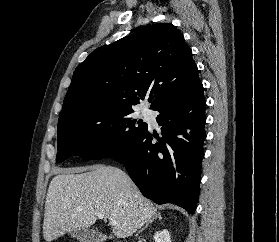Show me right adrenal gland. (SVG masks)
<instances>
[{
    "label": "right adrenal gland",
    "instance_id": "2a0ac1e0",
    "mask_svg": "<svg viewBox=\"0 0 279 242\" xmlns=\"http://www.w3.org/2000/svg\"><path fill=\"white\" fill-rule=\"evenodd\" d=\"M154 219H159V220H161L162 217H161L160 213L155 214V217H154L153 219H151L150 221H148V222L145 224V226H144L142 229H140V230L138 231V233L142 232L145 228H147L148 225L154 221Z\"/></svg>",
    "mask_w": 279,
    "mask_h": 242
}]
</instances>
